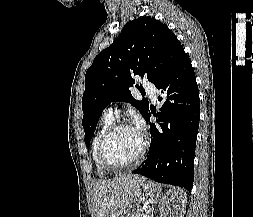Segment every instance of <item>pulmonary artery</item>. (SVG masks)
Returning <instances> with one entry per match:
<instances>
[{"label":"pulmonary artery","instance_id":"pulmonary-artery-1","mask_svg":"<svg viewBox=\"0 0 253 217\" xmlns=\"http://www.w3.org/2000/svg\"><path fill=\"white\" fill-rule=\"evenodd\" d=\"M143 86H144L145 90L148 92L151 100L155 101L156 100V96H157V89H156V87L152 83H149V82H144ZM104 114L107 117H112V118L116 117L118 115L117 107H115V106H109V107H107L105 109Z\"/></svg>","mask_w":253,"mask_h":217}]
</instances>
